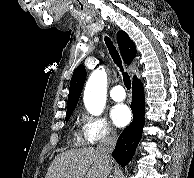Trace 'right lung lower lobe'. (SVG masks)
I'll use <instances>...</instances> for the list:
<instances>
[{
    "label": "right lung lower lobe",
    "mask_w": 194,
    "mask_h": 178,
    "mask_svg": "<svg viewBox=\"0 0 194 178\" xmlns=\"http://www.w3.org/2000/svg\"><path fill=\"white\" fill-rule=\"evenodd\" d=\"M133 121L126 127L118 138L113 157L121 165L125 166L132 159L135 149L141 139L142 129L145 124L144 90L141 82L136 78L132 85Z\"/></svg>",
    "instance_id": "obj_1"
}]
</instances>
